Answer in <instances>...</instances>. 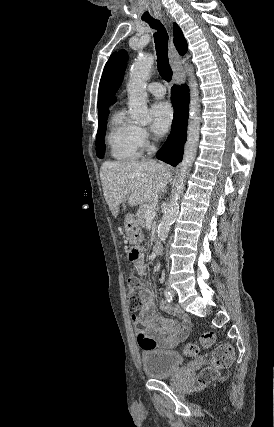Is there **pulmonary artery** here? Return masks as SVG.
Returning a JSON list of instances; mask_svg holds the SVG:
<instances>
[{"label":"pulmonary artery","instance_id":"obj_1","mask_svg":"<svg viewBox=\"0 0 274 427\" xmlns=\"http://www.w3.org/2000/svg\"><path fill=\"white\" fill-rule=\"evenodd\" d=\"M147 90L156 97H163L166 94L165 87L158 82H152L147 86Z\"/></svg>","mask_w":274,"mask_h":427}]
</instances>
